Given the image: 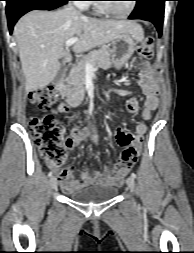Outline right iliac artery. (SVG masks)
Returning <instances> with one entry per match:
<instances>
[{
	"instance_id": "right-iliac-artery-1",
	"label": "right iliac artery",
	"mask_w": 194,
	"mask_h": 253,
	"mask_svg": "<svg viewBox=\"0 0 194 253\" xmlns=\"http://www.w3.org/2000/svg\"><path fill=\"white\" fill-rule=\"evenodd\" d=\"M48 176H49V177H52V176H53V172H52V171L49 172Z\"/></svg>"
}]
</instances>
